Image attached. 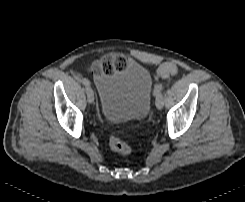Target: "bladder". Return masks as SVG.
I'll list each match as a JSON object with an SVG mask.
<instances>
[{
  "mask_svg": "<svg viewBox=\"0 0 245 202\" xmlns=\"http://www.w3.org/2000/svg\"><path fill=\"white\" fill-rule=\"evenodd\" d=\"M98 109L114 125L143 121L150 110L153 81L146 67L133 62L111 73L99 72L93 79Z\"/></svg>",
  "mask_w": 245,
  "mask_h": 202,
  "instance_id": "obj_1",
  "label": "bladder"
}]
</instances>
